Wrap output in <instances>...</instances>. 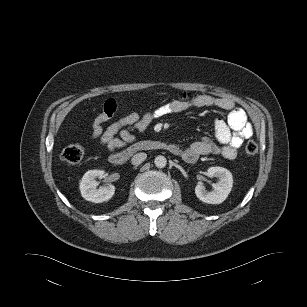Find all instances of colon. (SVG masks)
<instances>
[{"label":"colon","mask_w":307,"mask_h":307,"mask_svg":"<svg viewBox=\"0 0 307 307\" xmlns=\"http://www.w3.org/2000/svg\"><path fill=\"white\" fill-rule=\"evenodd\" d=\"M258 152V145L255 141H248L244 147V153L248 157H253ZM83 149L80 145L71 144L65 147L61 152V159L69 164H77L83 158Z\"/></svg>","instance_id":"colon-1"}]
</instances>
